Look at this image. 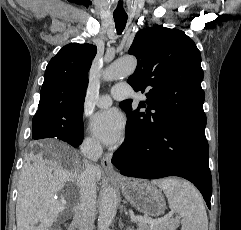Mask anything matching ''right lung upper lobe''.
<instances>
[{
	"label": "right lung upper lobe",
	"instance_id": "cb5924a9",
	"mask_svg": "<svg viewBox=\"0 0 241 230\" xmlns=\"http://www.w3.org/2000/svg\"><path fill=\"white\" fill-rule=\"evenodd\" d=\"M97 52L92 44L64 46L46 67L36 114L60 108L83 107L87 72Z\"/></svg>",
	"mask_w": 241,
	"mask_h": 230
}]
</instances>
